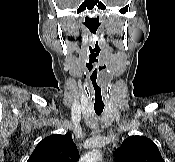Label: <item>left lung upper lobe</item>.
<instances>
[{
  "instance_id": "left-lung-upper-lobe-1",
  "label": "left lung upper lobe",
  "mask_w": 175,
  "mask_h": 162,
  "mask_svg": "<svg viewBox=\"0 0 175 162\" xmlns=\"http://www.w3.org/2000/svg\"><path fill=\"white\" fill-rule=\"evenodd\" d=\"M117 162H164L156 144L143 136H130L113 152Z\"/></svg>"
}]
</instances>
